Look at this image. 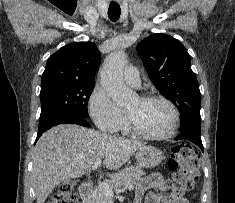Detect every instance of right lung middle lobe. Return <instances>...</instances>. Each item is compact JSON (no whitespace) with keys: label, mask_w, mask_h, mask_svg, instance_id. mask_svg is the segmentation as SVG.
Returning a JSON list of instances; mask_svg holds the SVG:
<instances>
[{"label":"right lung middle lobe","mask_w":235,"mask_h":203,"mask_svg":"<svg viewBox=\"0 0 235 203\" xmlns=\"http://www.w3.org/2000/svg\"><path fill=\"white\" fill-rule=\"evenodd\" d=\"M95 82H57L41 86L39 122L58 115L88 117L87 103Z\"/></svg>","instance_id":"right-lung-middle-lobe-1"}]
</instances>
